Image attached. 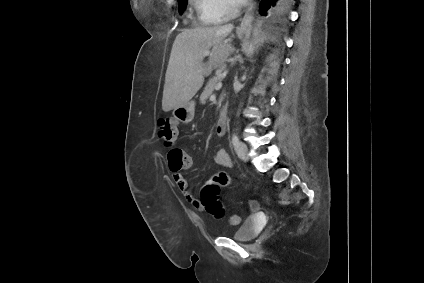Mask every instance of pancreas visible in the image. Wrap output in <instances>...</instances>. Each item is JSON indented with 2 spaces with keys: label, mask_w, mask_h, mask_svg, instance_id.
<instances>
[{
  "label": "pancreas",
  "mask_w": 424,
  "mask_h": 283,
  "mask_svg": "<svg viewBox=\"0 0 424 283\" xmlns=\"http://www.w3.org/2000/svg\"><path fill=\"white\" fill-rule=\"evenodd\" d=\"M221 82V80L218 77H213L209 80V82L207 83L200 99L201 101H205L208 99V97H210L215 89V85Z\"/></svg>",
  "instance_id": "obj_1"
}]
</instances>
